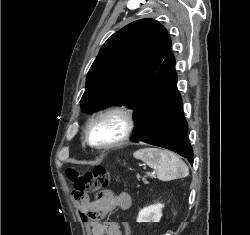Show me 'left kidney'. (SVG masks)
Returning <instances> with one entry per match:
<instances>
[{
  "instance_id": "left-kidney-1",
  "label": "left kidney",
  "mask_w": 250,
  "mask_h": 235,
  "mask_svg": "<svg viewBox=\"0 0 250 235\" xmlns=\"http://www.w3.org/2000/svg\"><path fill=\"white\" fill-rule=\"evenodd\" d=\"M163 204H154L139 211L137 222H159L162 217Z\"/></svg>"
}]
</instances>
